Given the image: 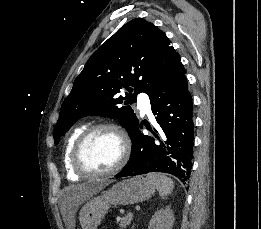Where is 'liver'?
Listing matches in <instances>:
<instances>
[{
    "label": "liver",
    "mask_w": 261,
    "mask_h": 229,
    "mask_svg": "<svg viewBox=\"0 0 261 229\" xmlns=\"http://www.w3.org/2000/svg\"><path fill=\"white\" fill-rule=\"evenodd\" d=\"M112 181H95V183H83V185H76L75 189V201L76 203H84L93 195L100 193L104 187H107Z\"/></svg>",
    "instance_id": "6515ba94"
}]
</instances>
